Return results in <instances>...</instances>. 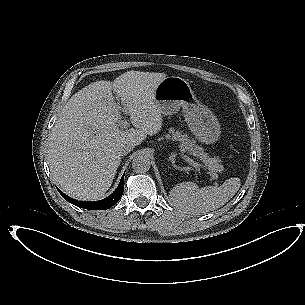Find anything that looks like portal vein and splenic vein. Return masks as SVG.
Wrapping results in <instances>:
<instances>
[{
	"mask_svg": "<svg viewBox=\"0 0 305 305\" xmlns=\"http://www.w3.org/2000/svg\"><path fill=\"white\" fill-rule=\"evenodd\" d=\"M129 125V123L127 122V120H121L118 124V126H120L121 128H125ZM185 157V156H184Z\"/></svg>",
	"mask_w": 305,
	"mask_h": 305,
	"instance_id": "18ae733b",
	"label": "portal vein and splenic vein"
}]
</instances>
